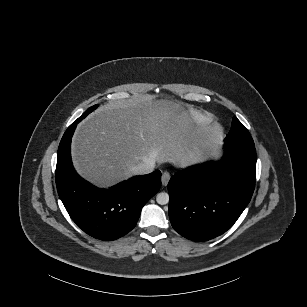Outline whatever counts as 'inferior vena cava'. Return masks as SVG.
<instances>
[{
  "label": "inferior vena cava",
  "mask_w": 307,
  "mask_h": 307,
  "mask_svg": "<svg viewBox=\"0 0 307 307\" xmlns=\"http://www.w3.org/2000/svg\"><path fill=\"white\" fill-rule=\"evenodd\" d=\"M155 161L148 160L146 163H142L130 168L133 175L148 174L154 170Z\"/></svg>",
  "instance_id": "1"
}]
</instances>
